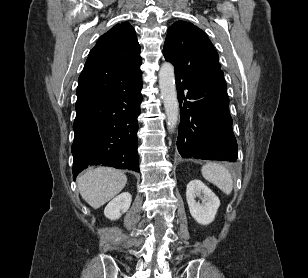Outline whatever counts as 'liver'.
<instances>
[{"label": "liver", "instance_id": "obj_1", "mask_svg": "<svg viewBox=\"0 0 308 278\" xmlns=\"http://www.w3.org/2000/svg\"><path fill=\"white\" fill-rule=\"evenodd\" d=\"M126 183V175L111 167L89 168L77 178L82 198L95 209L120 193Z\"/></svg>", "mask_w": 308, "mask_h": 278}]
</instances>
